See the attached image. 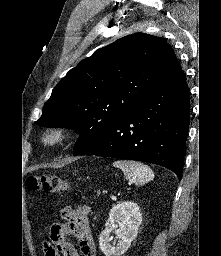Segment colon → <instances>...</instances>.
<instances>
[{
  "mask_svg": "<svg viewBox=\"0 0 221 256\" xmlns=\"http://www.w3.org/2000/svg\"><path fill=\"white\" fill-rule=\"evenodd\" d=\"M28 187L46 193H60L67 189V184L60 177L50 174L33 175L28 178Z\"/></svg>",
  "mask_w": 221,
  "mask_h": 256,
  "instance_id": "1",
  "label": "colon"
}]
</instances>
